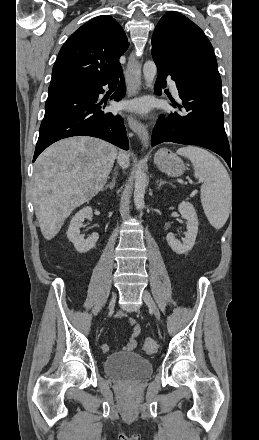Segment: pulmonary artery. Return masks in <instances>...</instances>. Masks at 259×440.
<instances>
[{"label": "pulmonary artery", "instance_id": "obj_1", "mask_svg": "<svg viewBox=\"0 0 259 440\" xmlns=\"http://www.w3.org/2000/svg\"><path fill=\"white\" fill-rule=\"evenodd\" d=\"M167 81H168V84H169V86H170V88H171L173 94H174L175 96H178V89H177L176 82H175L174 80L170 79V78H168Z\"/></svg>", "mask_w": 259, "mask_h": 440}]
</instances>
